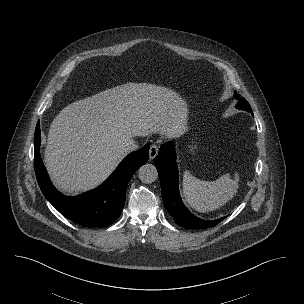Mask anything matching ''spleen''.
Instances as JSON below:
<instances>
[{
    "instance_id": "1",
    "label": "spleen",
    "mask_w": 304,
    "mask_h": 304,
    "mask_svg": "<svg viewBox=\"0 0 304 304\" xmlns=\"http://www.w3.org/2000/svg\"><path fill=\"white\" fill-rule=\"evenodd\" d=\"M238 176L227 173L216 181H203L186 171L183 175V195L186 202L199 212L214 211L234 197L238 190Z\"/></svg>"
}]
</instances>
